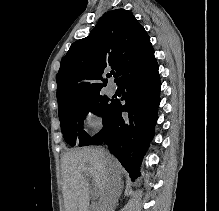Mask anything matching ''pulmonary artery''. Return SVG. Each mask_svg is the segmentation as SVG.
Returning a JSON list of instances; mask_svg holds the SVG:
<instances>
[{"label":"pulmonary artery","mask_w":219,"mask_h":211,"mask_svg":"<svg viewBox=\"0 0 219 211\" xmlns=\"http://www.w3.org/2000/svg\"><path fill=\"white\" fill-rule=\"evenodd\" d=\"M116 93V87L114 86V85H112V84H110L109 86H108V94L109 95H114Z\"/></svg>","instance_id":"pulmonary-artery-1"}]
</instances>
